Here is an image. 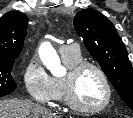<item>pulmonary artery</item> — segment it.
I'll use <instances>...</instances> for the list:
<instances>
[{
	"mask_svg": "<svg viewBox=\"0 0 133 118\" xmlns=\"http://www.w3.org/2000/svg\"><path fill=\"white\" fill-rule=\"evenodd\" d=\"M60 53L62 56L64 55H74L79 53V48L77 45L71 44V45H63L60 48Z\"/></svg>",
	"mask_w": 133,
	"mask_h": 118,
	"instance_id": "pulmonary-artery-1",
	"label": "pulmonary artery"
}]
</instances>
